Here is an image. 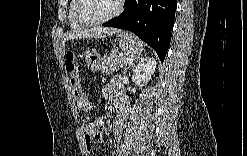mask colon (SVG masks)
<instances>
[{
    "mask_svg": "<svg viewBox=\"0 0 247 156\" xmlns=\"http://www.w3.org/2000/svg\"><path fill=\"white\" fill-rule=\"evenodd\" d=\"M88 116H85L83 121L85 136L90 139H96L100 136V128L96 127L98 123V116L96 112H101V107H89Z\"/></svg>",
    "mask_w": 247,
    "mask_h": 156,
    "instance_id": "colon-1",
    "label": "colon"
}]
</instances>
